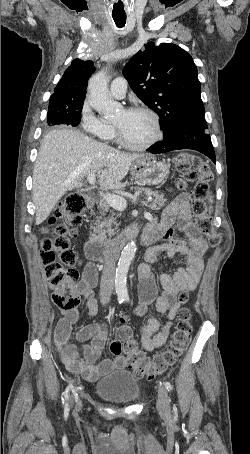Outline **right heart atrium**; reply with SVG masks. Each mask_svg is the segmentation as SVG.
<instances>
[{
  "mask_svg": "<svg viewBox=\"0 0 250 454\" xmlns=\"http://www.w3.org/2000/svg\"><path fill=\"white\" fill-rule=\"evenodd\" d=\"M80 119L83 130L95 136L101 137L109 127L94 114L87 100L82 105Z\"/></svg>",
  "mask_w": 250,
  "mask_h": 454,
  "instance_id": "right-heart-atrium-1",
  "label": "right heart atrium"
}]
</instances>
